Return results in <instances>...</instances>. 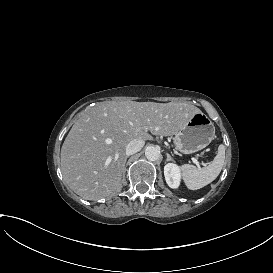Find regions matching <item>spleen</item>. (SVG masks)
I'll list each match as a JSON object with an SVG mask.
<instances>
[{
  "instance_id": "3e777b00",
  "label": "spleen",
  "mask_w": 273,
  "mask_h": 273,
  "mask_svg": "<svg viewBox=\"0 0 273 273\" xmlns=\"http://www.w3.org/2000/svg\"><path fill=\"white\" fill-rule=\"evenodd\" d=\"M225 160V146L220 144L215 159L206 167L197 168L193 165L183 167L184 177L191 190H197L210 184L220 174Z\"/></svg>"
}]
</instances>
